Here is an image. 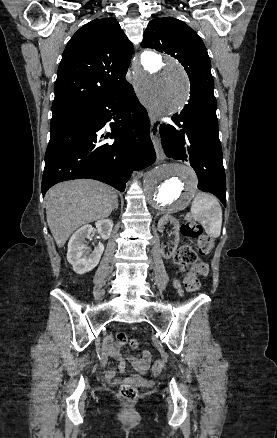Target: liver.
<instances>
[{
	"instance_id": "liver-1",
	"label": "liver",
	"mask_w": 277,
	"mask_h": 438,
	"mask_svg": "<svg viewBox=\"0 0 277 438\" xmlns=\"http://www.w3.org/2000/svg\"><path fill=\"white\" fill-rule=\"evenodd\" d=\"M45 202L47 224L58 248H63L77 228L108 218L118 196L113 188L101 182L71 180L50 188Z\"/></svg>"
}]
</instances>
